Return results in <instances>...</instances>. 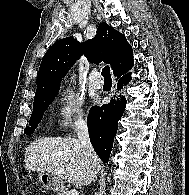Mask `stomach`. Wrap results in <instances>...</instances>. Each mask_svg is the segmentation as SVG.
Wrapping results in <instances>:
<instances>
[{
	"mask_svg": "<svg viewBox=\"0 0 189 195\" xmlns=\"http://www.w3.org/2000/svg\"><path fill=\"white\" fill-rule=\"evenodd\" d=\"M38 179L47 190L55 191L61 188L62 183L60 178L49 172H39Z\"/></svg>",
	"mask_w": 189,
	"mask_h": 195,
	"instance_id": "1",
	"label": "stomach"
}]
</instances>
